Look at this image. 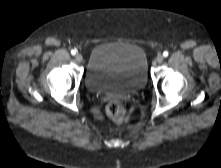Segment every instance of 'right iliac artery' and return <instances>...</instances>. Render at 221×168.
Instances as JSON below:
<instances>
[{
  "mask_svg": "<svg viewBox=\"0 0 221 168\" xmlns=\"http://www.w3.org/2000/svg\"><path fill=\"white\" fill-rule=\"evenodd\" d=\"M71 54H72V55H75V54H76V50H74V49L71 50Z\"/></svg>",
  "mask_w": 221,
  "mask_h": 168,
  "instance_id": "1",
  "label": "right iliac artery"
}]
</instances>
